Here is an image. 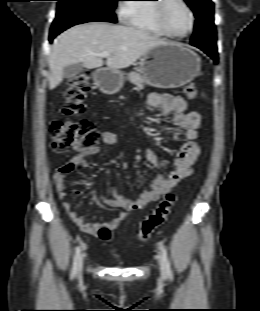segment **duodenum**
<instances>
[{"label": "duodenum", "mask_w": 260, "mask_h": 311, "mask_svg": "<svg viewBox=\"0 0 260 311\" xmlns=\"http://www.w3.org/2000/svg\"><path fill=\"white\" fill-rule=\"evenodd\" d=\"M101 76H102V72H101V71L97 72V74H96V80H97L98 82H99Z\"/></svg>", "instance_id": "410a0bca"}]
</instances>
